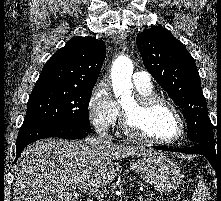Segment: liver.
I'll use <instances>...</instances> for the list:
<instances>
[{
  "label": "liver",
  "instance_id": "obj_1",
  "mask_svg": "<svg viewBox=\"0 0 221 201\" xmlns=\"http://www.w3.org/2000/svg\"><path fill=\"white\" fill-rule=\"evenodd\" d=\"M152 152L101 138L37 141L17 161L13 201H78L76 188L105 187L114 180L113 160Z\"/></svg>",
  "mask_w": 221,
  "mask_h": 201
}]
</instances>
